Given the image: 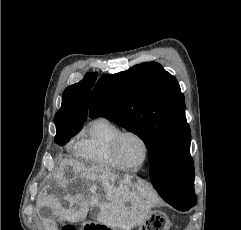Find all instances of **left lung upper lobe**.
Returning a JSON list of instances; mask_svg holds the SVG:
<instances>
[{"instance_id": "1", "label": "left lung upper lobe", "mask_w": 241, "mask_h": 230, "mask_svg": "<svg viewBox=\"0 0 241 230\" xmlns=\"http://www.w3.org/2000/svg\"><path fill=\"white\" fill-rule=\"evenodd\" d=\"M184 111V95L176 78L156 62L104 75L90 103L91 118L103 116L133 132L147 146L150 163L163 161L166 182L160 196L191 204L196 201L194 165Z\"/></svg>"}]
</instances>
